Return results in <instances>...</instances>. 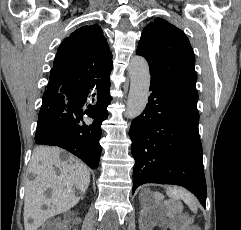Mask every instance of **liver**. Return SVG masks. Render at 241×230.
<instances>
[{"instance_id": "1", "label": "liver", "mask_w": 241, "mask_h": 230, "mask_svg": "<svg viewBox=\"0 0 241 230\" xmlns=\"http://www.w3.org/2000/svg\"><path fill=\"white\" fill-rule=\"evenodd\" d=\"M62 153L56 147L40 146L32 154L29 172L33 173L35 179L26 184L23 213L25 230H37L48 217L68 211L80 200L76 191L84 194L88 189V167L72 155L62 158ZM55 168H59V174ZM47 188L52 190L50 199L43 196ZM44 204L48 206L47 210H42Z\"/></svg>"}]
</instances>
